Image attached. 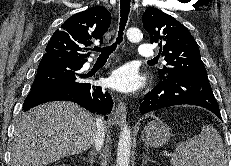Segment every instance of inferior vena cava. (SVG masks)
<instances>
[{"mask_svg": "<svg viewBox=\"0 0 231 166\" xmlns=\"http://www.w3.org/2000/svg\"><path fill=\"white\" fill-rule=\"evenodd\" d=\"M97 133L94 140V146L96 151H100L105 139V122L102 118H97Z\"/></svg>", "mask_w": 231, "mask_h": 166, "instance_id": "1", "label": "inferior vena cava"}]
</instances>
